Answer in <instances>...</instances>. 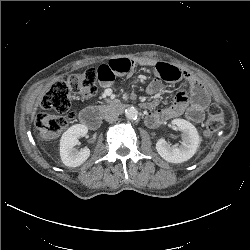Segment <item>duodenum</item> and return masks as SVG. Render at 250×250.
I'll list each match as a JSON object with an SVG mask.
<instances>
[{"label": "duodenum", "mask_w": 250, "mask_h": 250, "mask_svg": "<svg viewBox=\"0 0 250 250\" xmlns=\"http://www.w3.org/2000/svg\"><path fill=\"white\" fill-rule=\"evenodd\" d=\"M126 108H127V105L124 103L112 102L106 106L84 109L80 114V119L82 123L88 126L89 128L96 129L99 127L101 112L104 109L123 113Z\"/></svg>", "instance_id": "obj_1"}]
</instances>
